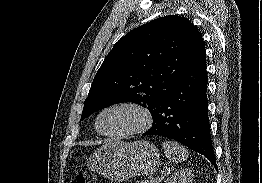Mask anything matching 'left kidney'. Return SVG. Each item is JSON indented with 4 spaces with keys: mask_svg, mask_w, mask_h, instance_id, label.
I'll return each instance as SVG.
<instances>
[{
    "mask_svg": "<svg viewBox=\"0 0 262 183\" xmlns=\"http://www.w3.org/2000/svg\"><path fill=\"white\" fill-rule=\"evenodd\" d=\"M164 183H193L192 170L189 168L179 170L167 178Z\"/></svg>",
    "mask_w": 262,
    "mask_h": 183,
    "instance_id": "5707ae66",
    "label": "left kidney"
}]
</instances>
